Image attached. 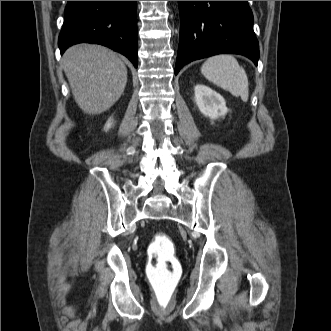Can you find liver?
<instances>
[{"instance_id":"1","label":"liver","mask_w":331,"mask_h":331,"mask_svg":"<svg viewBox=\"0 0 331 331\" xmlns=\"http://www.w3.org/2000/svg\"><path fill=\"white\" fill-rule=\"evenodd\" d=\"M73 97L87 114H100L121 97L127 68L115 52L100 45L77 44L62 58Z\"/></svg>"}]
</instances>
